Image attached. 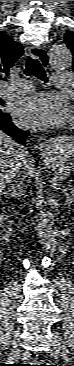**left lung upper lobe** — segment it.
I'll return each instance as SVG.
<instances>
[{
  "label": "left lung upper lobe",
  "mask_w": 74,
  "mask_h": 366,
  "mask_svg": "<svg viewBox=\"0 0 74 366\" xmlns=\"http://www.w3.org/2000/svg\"><path fill=\"white\" fill-rule=\"evenodd\" d=\"M64 41L67 45V47L71 50L73 55V62H72V68L74 71V32L68 31L64 35Z\"/></svg>",
  "instance_id": "1"
}]
</instances>
